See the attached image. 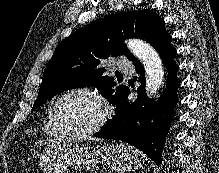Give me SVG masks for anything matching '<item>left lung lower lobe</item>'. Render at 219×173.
Segmentation results:
<instances>
[{"instance_id":"obj_1","label":"left lung lower lobe","mask_w":219,"mask_h":173,"mask_svg":"<svg viewBox=\"0 0 219 173\" xmlns=\"http://www.w3.org/2000/svg\"><path fill=\"white\" fill-rule=\"evenodd\" d=\"M169 35L155 46L168 71L166 89L161 99L154 103L144 97V67L135 60L136 72L142 85L137 89L138 97L134 102L127 100L130 89L127 88L116 104V115L94 134L95 137L127 142L151 158L156 164L161 163V151L177 103L176 89L179 81L176 77L178 66L175 64L176 51L171 46Z\"/></svg>"}]
</instances>
